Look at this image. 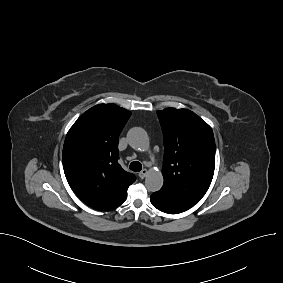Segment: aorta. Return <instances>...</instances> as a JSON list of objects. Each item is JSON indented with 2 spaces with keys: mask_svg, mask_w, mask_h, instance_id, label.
<instances>
[{
  "mask_svg": "<svg viewBox=\"0 0 283 283\" xmlns=\"http://www.w3.org/2000/svg\"><path fill=\"white\" fill-rule=\"evenodd\" d=\"M128 142L131 147L138 150H147L149 148V137L147 132L134 127L127 134ZM163 176L160 171L150 170L145 178V186L151 192H156L163 186Z\"/></svg>",
  "mask_w": 283,
  "mask_h": 283,
  "instance_id": "1",
  "label": "aorta"
}]
</instances>
